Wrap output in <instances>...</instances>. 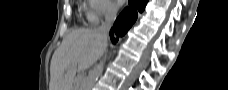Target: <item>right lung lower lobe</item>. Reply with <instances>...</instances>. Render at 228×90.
<instances>
[{"label": "right lung lower lobe", "mask_w": 228, "mask_h": 90, "mask_svg": "<svg viewBox=\"0 0 228 90\" xmlns=\"http://www.w3.org/2000/svg\"><path fill=\"white\" fill-rule=\"evenodd\" d=\"M130 7H126L118 16L114 27L110 30V38L116 43L119 37L124 36L136 21L138 12H143L148 0H128Z\"/></svg>", "instance_id": "1"}]
</instances>
